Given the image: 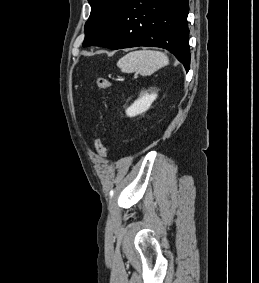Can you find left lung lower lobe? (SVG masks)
I'll list each match as a JSON object with an SVG mask.
<instances>
[{
	"label": "left lung lower lobe",
	"instance_id": "0a47b994",
	"mask_svg": "<svg viewBox=\"0 0 259 283\" xmlns=\"http://www.w3.org/2000/svg\"><path fill=\"white\" fill-rule=\"evenodd\" d=\"M188 0H127L106 35L92 46L161 47L190 67Z\"/></svg>",
	"mask_w": 259,
	"mask_h": 283
}]
</instances>
